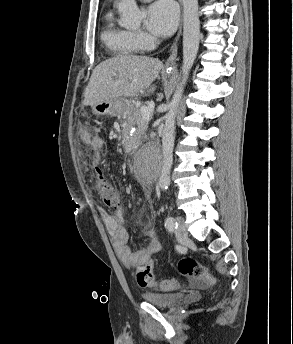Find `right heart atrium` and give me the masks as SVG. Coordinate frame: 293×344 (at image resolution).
<instances>
[{
	"instance_id": "right-heart-atrium-1",
	"label": "right heart atrium",
	"mask_w": 293,
	"mask_h": 344,
	"mask_svg": "<svg viewBox=\"0 0 293 344\" xmlns=\"http://www.w3.org/2000/svg\"><path fill=\"white\" fill-rule=\"evenodd\" d=\"M134 42L140 49H148L154 45V39L144 31L132 32Z\"/></svg>"
}]
</instances>
